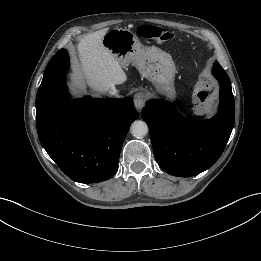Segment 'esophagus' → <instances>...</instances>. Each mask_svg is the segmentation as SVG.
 Instances as JSON below:
<instances>
[{"label": "esophagus", "mask_w": 261, "mask_h": 261, "mask_svg": "<svg viewBox=\"0 0 261 261\" xmlns=\"http://www.w3.org/2000/svg\"><path fill=\"white\" fill-rule=\"evenodd\" d=\"M146 103V95L143 92H138L134 96V105L137 110H141Z\"/></svg>", "instance_id": "esophagus-1"}]
</instances>
